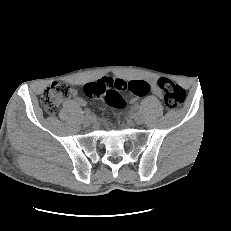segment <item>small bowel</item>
Masks as SVG:
<instances>
[{"instance_id":"small-bowel-1","label":"small bowel","mask_w":231,"mask_h":231,"mask_svg":"<svg viewBox=\"0 0 231 231\" xmlns=\"http://www.w3.org/2000/svg\"><path fill=\"white\" fill-rule=\"evenodd\" d=\"M149 86H150L151 92H152L154 95H156V96L159 97V98H162V97H163L162 91L159 89V87L157 86V84H156V82H155L154 80H150ZM74 101H75V103H76L77 105H79V106H84V105H85V101H84L82 98H80V97H77V96H76V97L74 98ZM131 101L133 102V101H135V99H132Z\"/></svg>"}]
</instances>
